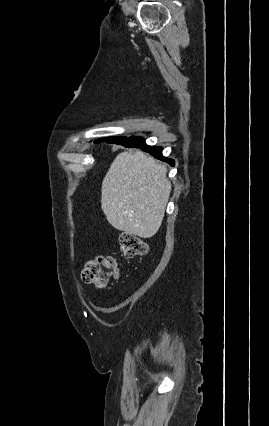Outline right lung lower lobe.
I'll list each match as a JSON object with an SVG mask.
<instances>
[{
    "instance_id": "right-lung-lower-lobe-1",
    "label": "right lung lower lobe",
    "mask_w": 269,
    "mask_h": 426,
    "mask_svg": "<svg viewBox=\"0 0 269 426\" xmlns=\"http://www.w3.org/2000/svg\"><path fill=\"white\" fill-rule=\"evenodd\" d=\"M107 143L112 144H118L123 145L125 147H132V148H140L142 151L148 152L149 154L153 155L155 158L162 160L164 162L169 163L170 165H174V161L172 159L166 158L162 155V147L158 146H148L144 139L141 137H128L123 140H105Z\"/></svg>"
}]
</instances>
